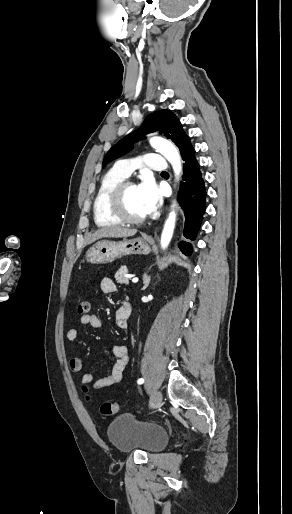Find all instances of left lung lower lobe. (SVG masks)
<instances>
[{
	"label": "left lung lower lobe",
	"instance_id": "obj_1",
	"mask_svg": "<svg viewBox=\"0 0 292 514\" xmlns=\"http://www.w3.org/2000/svg\"><path fill=\"white\" fill-rule=\"evenodd\" d=\"M182 159L184 182H181L178 200L185 216L183 236L195 240L206 209V188L192 144L185 149ZM178 247L185 255L192 252V245L188 242L181 241Z\"/></svg>",
	"mask_w": 292,
	"mask_h": 514
}]
</instances>
